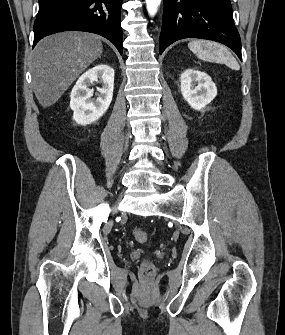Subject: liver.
<instances>
[{"mask_svg":"<svg viewBox=\"0 0 285 335\" xmlns=\"http://www.w3.org/2000/svg\"><path fill=\"white\" fill-rule=\"evenodd\" d=\"M102 52L100 36L87 32H61L41 40L30 64L39 104L43 108L53 106Z\"/></svg>","mask_w":285,"mask_h":335,"instance_id":"6515ba94","label":"liver"}]
</instances>
